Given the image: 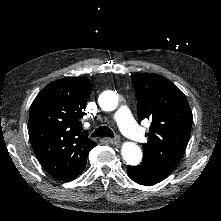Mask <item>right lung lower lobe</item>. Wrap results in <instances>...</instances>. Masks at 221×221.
Wrapping results in <instances>:
<instances>
[{
	"instance_id": "1",
	"label": "right lung lower lobe",
	"mask_w": 221,
	"mask_h": 221,
	"mask_svg": "<svg viewBox=\"0 0 221 221\" xmlns=\"http://www.w3.org/2000/svg\"><path fill=\"white\" fill-rule=\"evenodd\" d=\"M85 166H86V163L69 180H72V179L76 178L78 175H80L82 173V171L84 170Z\"/></svg>"
}]
</instances>
